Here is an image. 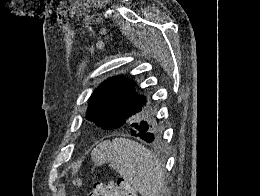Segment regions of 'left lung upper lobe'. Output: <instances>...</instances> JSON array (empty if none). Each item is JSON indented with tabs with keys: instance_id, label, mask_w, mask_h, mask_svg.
Here are the masks:
<instances>
[{
	"instance_id": "5c2ea615",
	"label": "left lung upper lobe",
	"mask_w": 260,
	"mask_h": 196,
	"mask_svg": "<svg viewBox=\"0 0 260 196\" xmlns=\"http://www.w3.org/2000/svg\"><path fill=\"white\" fill-rule=\"evenodd\" d=\"M134 82L122 77L104 81L91 95L86 119L95 122L102 129L131 128L133 125L145 124L153 135V141L160 140L163 132L162 119L157 117V110L146 98L134 92ZM129 107L133 115L119 125H104L98 119L111 107Z\"/></svg>"
}]
</instances>
